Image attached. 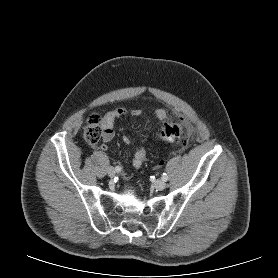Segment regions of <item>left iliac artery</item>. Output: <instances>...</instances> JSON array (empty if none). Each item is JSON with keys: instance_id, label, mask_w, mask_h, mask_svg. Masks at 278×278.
I'll list each match as a JSON object with an SVG mask.
<instances>
[{"instance_id": "44dca946", "label": "left iliac artery", "mask_w": 278, "mask_h": 278, "mask_svg": "<svg viewBox=\"0 0 278 278\" xmlns=\"http://www.w3.org/2000/svg\"><path fill=\"white\" fill-rule=\"evenodd\" d=\"M161 178H162L163 181H167L168 180V176H167L166 173H163Z\"/></svg>"}]
</instances>
